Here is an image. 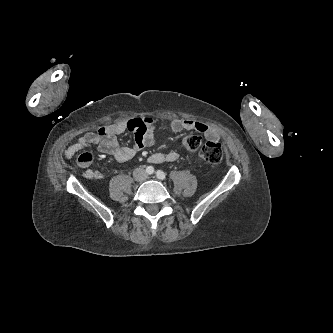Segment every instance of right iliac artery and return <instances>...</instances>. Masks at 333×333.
<instances>
[{"instance_id": "82829eb1", "label": "right iliac artery", "mask_w": 333, "mask_h": 333, "mask_svg": "<svg viewBox=\"0 0 333 333\" xmlns=\"http://www.w3.org/2000/svg\"><path fill=\"white\" fill-rule=\"evenodd\" d=\"M146 172H147L148 174H153V173H154V168H153L152 166H148V167L146 168Z\"/></svg>"}]
</instances>
